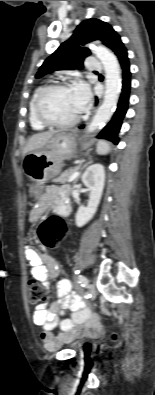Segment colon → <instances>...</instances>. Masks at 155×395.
Listing matches in <instances>:
<instances>
[{
    "mask_svg": "<svg viewBox=\"0 0 155 395\" xmlns=\"http://www.w3.org/2000/svg\"><path fill=\"white\" fill-rule=\"evenodd\" d=\"M62 221V215H47L46 220L36 229V234L39 235L42 244L48 251H57V243L62 240V235H65L66 223H61ZM28 287L30 304L35 305L46 301V290L36 280H29ZM111 339L117 340L118 336L112 334Z\"/></svg>",
    "mask_w": 155,
    "mask_h": 395,
    "instance_id": "1",
    "label": "colon"
}]
</instances>
